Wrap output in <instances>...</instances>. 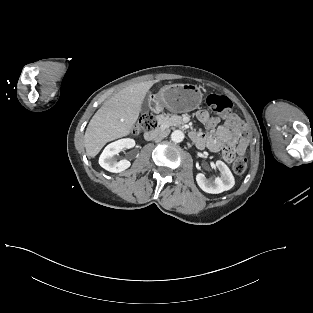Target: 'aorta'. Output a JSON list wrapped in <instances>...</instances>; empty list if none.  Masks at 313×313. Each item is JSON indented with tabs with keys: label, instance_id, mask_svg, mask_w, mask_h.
Listing matches in <instances>:
<instances>
[{
	"label": "aorta",
	"instance_id": "1",
	"mask_svg": "<svg viewBox=\"0 0 313 313\" xmlns=\"http://www.w3.org/2000/svg\"><path fill=\"white\" fill-rule=\"evenodd\" d=\"M184 137V133L181 130H175L171 134V140L175 143L182 142Z\"/></svg>",
	"mask_w": 313,
	"mask_h": 313
}]
</instances>
